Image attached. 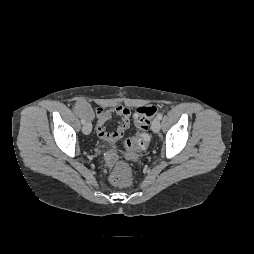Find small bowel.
I'll return each instance as SVG.
<instances>
[{"label": "small bowel", "instance_id": "c3829d8e", "mask_svg": "<svg viewBox=\"0 0 254 254\" xmlns=\"http://www.w3.org/2000/svg\"><path fill=\"white\" fill-rule=\"evenodd\" d=\"M75 109L83 119L92 120L96 117V133L99 138L109 143H114L122 138L131 124V110L122 105H117L114 108H98L93 111L90 104L81 99L76 102ZM113 116H118L120 121L118 127L114 131L109 132L106 130L105 124Z\"/></svg>", "mask_w": 254, "mask_h": 254}]
</instances>
